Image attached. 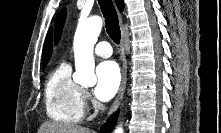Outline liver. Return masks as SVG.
Wrapping results in <instances>:
<instances>
[{
  "label": "liver",
  "instance_id": "6515ba94",
  "mask_svg": "<svg viewBox=\"0 0 221 133\" xmlns=\"http://www.w3.org/2000/svg\"><path fill=\"white\" fill-rule=\"evenodd\" d=\"M38 133H92L90 129L63 124L58 122H45L41 125Z\"/></svg>",
  "mask_w": 221,
  "mask_h": 133
}]
</instances>
